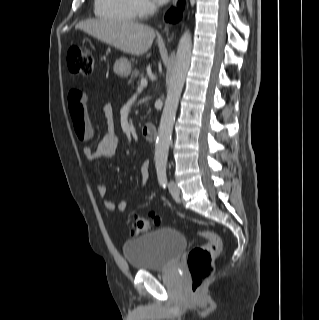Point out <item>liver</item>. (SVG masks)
Returning <instances> with one entry per match:
<instances>
[{"label": "liver", "mask_w": 319, "mask_h": 320, "mask_svg": "<svg viewBox=\"0 0 319 320\" xmlns=\"http://www.w3.org/2000/svg\"><path fill=\"white\" fill-rule=\"evenodd\" d=\"M75 28L135 56L146 53L155 38L153 28L129 20L89 19Z\"/></svg>", "instance_id": "1"}]
</instances>
